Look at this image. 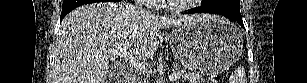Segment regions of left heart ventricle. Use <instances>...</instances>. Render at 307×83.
Instances as JSON below:
<instances>
[{
    "label": "left heart ventricle",
    "instance_id": "obj_1",
    "mask_svg": "<svg viewBox=\"0 0 307 83\" xmlns=\"http://www.w3.org/2000/svg\"><path fill=\"white\" fill-rule=\"evenodd\" d=\"M172 2H185V1H188V0H171Z\"/></svg>",
    "mask_w": 307,
    "mask_h": 83
}]
</instances>
